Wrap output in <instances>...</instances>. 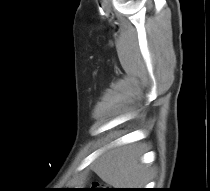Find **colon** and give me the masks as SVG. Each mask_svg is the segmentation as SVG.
<instances>
[{
	"label": "colon",
	"mask_w": 210,
	"mask_h": 191,
	"mask_svg": "<svg viewBox=\"0 0 210 191\" xmlns=\"http://www.w3.org/2000/svg\"><path fill=\"white\" fill-rule=\"evenodd\" d=\"M96 187H98V186H96ZM103 188H94V191H104V190H102Z\"/></svg>",
	"instance_id": "obj_1"
}]
</instances>
